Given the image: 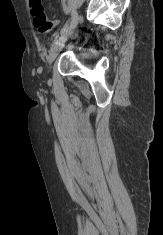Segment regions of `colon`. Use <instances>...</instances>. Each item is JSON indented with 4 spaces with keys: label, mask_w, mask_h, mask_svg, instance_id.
<instances>
[{
    "label": "colon",
    "mask_w": 163,
    "mask_h": 235,
    "mask_svg": "<svg viewBox=\"0 0 163 235\" xmlns=\"http://www.w3.org/2000/svg\"><path fill=\"white\" fill-rule=\"evenodd\" d=\"M30 8L33 23L40 33L53 30L58 25L57 20H50L46 16L41 0H30Z\"/></svg>",
    "instance_id": "obj_1"
}]
</instances>
